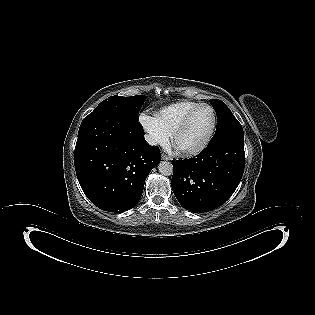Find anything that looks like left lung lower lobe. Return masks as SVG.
Here are the masks:
<instances>
[{
	"label": "left lung lower lobe",
	"instance_id": "obj_1",
	"mask_svg": "<svg viewBox=\"0 0 315 315\" xmlns=\"http://www.w3.org/2000/svg\"><path fill=\"white\" fill-rule=\"evenodd\" d=\"M244 140L224 139L194 158L173 160L172 190L186 210L206 212L225 203L245 166Z\"/></svg>",
	"mask_w": 315,
	"mask_h": 315
}]
</instances>
